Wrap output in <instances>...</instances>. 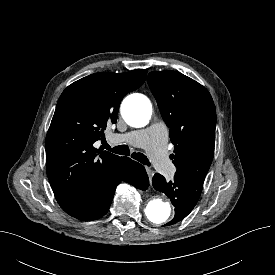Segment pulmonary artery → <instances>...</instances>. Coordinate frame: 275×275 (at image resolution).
<instances>
[{"label": "pulmonary artery", "mask_w": 275, "mask_h": 275, "mask_svg": "<svg viewBox=\"0 0 275 275\" xmlns=\"http://www.w3.org/2000/svg\"><path fill=\"white\" fill-rule=\"evenodd\" d=\"M116 138L120 142L146 149L152 164L159 172L166 176L174 174L175 167L166 153L167 132L163 126L153 125L147 129L120 134Z\"/></svg>", "instance_id": "1"}]
</instances>
